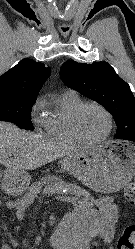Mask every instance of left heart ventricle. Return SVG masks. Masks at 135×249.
I'll use <instances>...</instances> for the list:
<instances>
[{
  "mask_svg": "<svg viewBox=\"0 0 135 249\" xmlns=\"http://www.w3.org/2000/svg\"><path fill=\"white\" fill-rule=\"evenodd\" d=\"M79 126L85 136L90 139H98L106 133L108 121L98 108L88 107L80 116Z\"/></svg>",
  "mask_w": 135,
  "mask_h": 249,
  "instance_id": "left-heart-ventricle-1",
  "label": "left heart ventricle"
}]
</instances>
